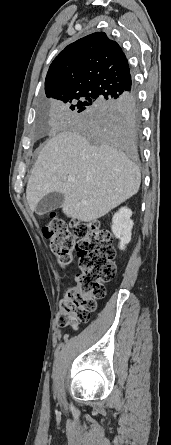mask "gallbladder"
Returning <instances> with one entry per match:
<instances>
[{"mask_svg": "<svg viewBox=\"0 0 171 445\" xmlns=\"http://www.w3.org/2000/svg\"><path fill=\"white\" fill-rule=\"evenodd\" d=\"M64 202V195L60 192H51L45 195L36 205L35 211L39 214H45L57 208H60Z\"/></svg>", "mask_w": 171, "mask_h": 445, "instance_id": "bac80fb5", "label": "gallbladder"}]
</instances>
